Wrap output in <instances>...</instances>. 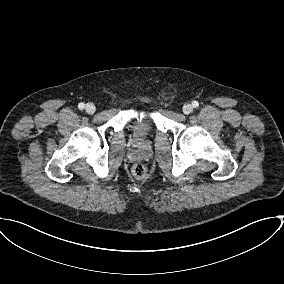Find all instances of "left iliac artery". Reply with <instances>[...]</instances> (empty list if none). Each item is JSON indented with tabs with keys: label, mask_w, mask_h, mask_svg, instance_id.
Masks as SVG:
<instances>
[{
	"label": "left iliac artery",
	"mask_w": 284,
	"mask_h": 284,
	"mask_svg": "<svg viewBox=\"0 0 284 284\" xmlns=\"http://www.w3.org/2000/svg\"><path fill=\"white\" fill-rule=\"evenodd\" d=\"M192 105H193L194 108H197L199 106V103H198V101H193Z\"/></svg>",
	"instance_id": "1"
}]
</instances>
